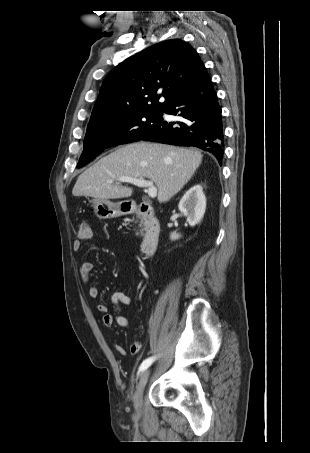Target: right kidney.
Listing matches in <instances>:
<instances>
[{
    "label": "right kidney",
    "mask_w": 310,
    "mask_h": 453,
    "mask_svg": "<svg viewBox=\"0 0 310 453\" xmlns=\"http://www.w3.org/2000/svg\"><path fill=\"white\" fill-rule=\"evenodd\" d=\"M178 208L181 213L187 217L190 226H195L202 219L206 209V197L201 185H194L182 197ZM180 237L179 234L173 232L171 239L175 240Z\"/></svg>",
    "instance_id": "1"
}]
</instances>
